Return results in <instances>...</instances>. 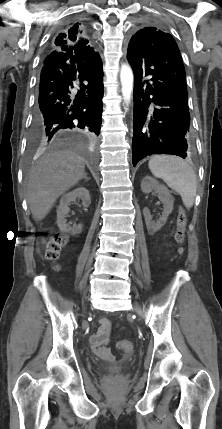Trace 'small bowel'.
Segmentation results:
<instances>
[{
  "label": "small bowel",
  "instance_id": "c3829d8e",
  "mask_svg": "<svg viewBox=\"0 0 222 429\" xmlns=\"http://www.w3.org/2000/svg\"><path fill=\"white\" fill-rule=\"evenodd\" d=\"M110 330V321L103 318L100 321L97 331L91 335L89 340L93 353L99 358L107 361H112L114 359L111 349L107 347L110 342Z\"/></svg>",
  "mask_w": 222,
  "mask_h": 429
}]
</instances>
